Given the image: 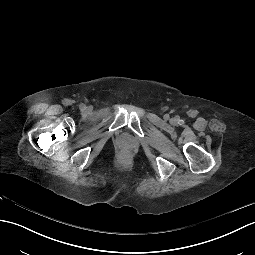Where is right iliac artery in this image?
Segmentation results:
<instances>
[{
    "mask_svg": "<svg viewBox=\"0 0 255 255\" xmlns=\"http://www.w3.org/2000/svg\"><path fill=\"white\" fill-rule=\"evenodd\" d=\"M80 108H81V109H85V106H84V105H80Z\"/></svg>",
    "mask_w": 255,
    "mask_h": 255,
    "instance_id": "82829eb1",
    "label": "right iliac artery"
}]
</instances>
